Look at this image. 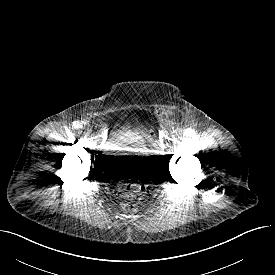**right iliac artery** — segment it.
<instances>
[{"label": "right iliac artery", "mask_w": 275, "mask_h": 275, "mask_svg": "<svg viewBox=\"0 0 275 275\" xmlns=\"http://www.w3.org/2000/svg\"><path fill=\"white\" fill-rule=\"evenodd\" d=\"M73 127H74L75 129H78V128L81 127V123H80L79 121H75V122H73Z\"/></svg>", "instance_id": "82829eb1"}]
</instances>
